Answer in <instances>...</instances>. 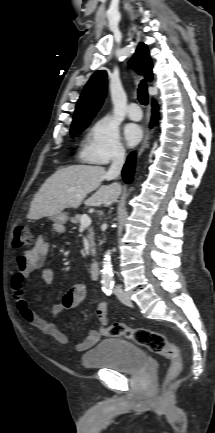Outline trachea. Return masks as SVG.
Returning <instances> with one entry per match:
<instances>
[{
  "instance_id": "obj_1",
  "label": "trachea",
  "mask_w": 215,
  "mask_h": 433,
  "mask_svg": "<svg viewBox=\"0 0 215 433\" xmlns=\"http://www.w3.org/2000/svg\"><path fill=\"white\" fill-rule=\"evenodd\" d=\"M138 100L142 105L148 104V91L145 80H142L138 88Z\"/></svg>"
}]
</instances>
